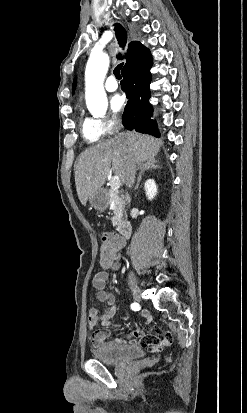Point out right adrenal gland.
I'll return each instance as SVG.
<instances>
[{"mask_svg": "<svg viewBox=\"0 0 247 413\" xmlns=\"http://www.w3.org/2000/svg\"><path fill=\"white\" fill-rule=\"evenodd\" d=\"M156 162H157V160H155V158H151V160H146L145 164H142V166L140 168V172L138 174V180L136 182L135 190H137V188H139L140 180H141L142 174H143V172H145V170H152V168H161V166H159V164H156Z\"/></svg>", "mask_w": 247, "mask_h": 413, "instance_id": "right-adrenal-gland-1", "label": "right adrenal gland"}]
</instances>
